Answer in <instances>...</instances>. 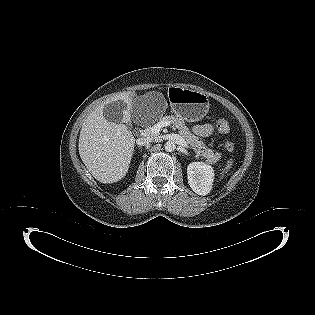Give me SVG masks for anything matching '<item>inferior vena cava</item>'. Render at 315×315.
Instances as JSON below:
<instances>
[{
    "mask_svg": "<svg viewBox=\"0 0 315 315\" xmlns=\"http://www.w3.org/2000/svg\"><path fill=\"white\" fill-rule=\"evenodd\" d=\"M153 137H142V138H138L136 143L139 145V146H145V145H149L152 141H153Z\"/></svg>",
    "mask_w": 315,
    "mask_h": 315,
    "instance_id": "602c4592",
    "label": "inferior vena cava"
}]
</instances>
